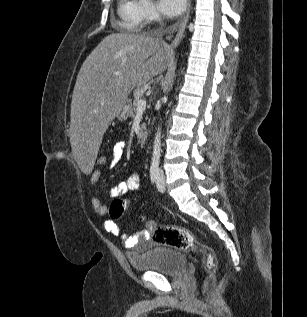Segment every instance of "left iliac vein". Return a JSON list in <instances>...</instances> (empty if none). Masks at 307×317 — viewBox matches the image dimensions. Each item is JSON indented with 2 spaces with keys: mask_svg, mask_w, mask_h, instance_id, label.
Masks as SVG:
<instances>
[{
  "mask_svg": "<svg viewBox=\"0 0 307 317\" xmlns=\"http://www.w3.org/2000/svg\"><path fill=\"white\" fill-rule=\"evenodd\" d=\"M157 188L159 191L163 192L165 190V180L162 173L158 175Z\"/></svg>",
  "mask_w": 307,
  "mask_h": 317,
  "instance_id": "left-iliac-vein-1",
  "label": "left iliac vein"
}]
</instances>
